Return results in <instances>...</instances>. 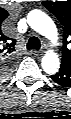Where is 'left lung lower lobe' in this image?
Segmentation results:
<instances>
[{"instance_id":"1","label":"left lung lower lobe","mask_w":71,"mask_h":119,"mask_svg":"<svg viewBox=\"0 0 71 119\" xmlns=\"http://www.w3.org/2000/svg\"><path fill=\"white\" fill-rule=\"evenodd\" d=\"M51 79L62 87H71V68L61 66L59 72L50 76Z\"/></svg>"}]
</instances>
